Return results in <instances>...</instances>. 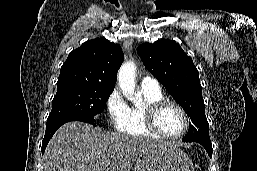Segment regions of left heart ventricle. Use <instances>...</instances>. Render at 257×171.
Wrapping results in <instances>:
<instances>
[{
	"label": "left heart ventricle",
	"mask_w": 257,
	"mask_h": 171,
	"mask_svg": "<svg viewBox=\"0 0 257 171\" xmlns=\"http://www.w3.org/2000/svg\"><path fill=\"white\" fill-rule=\"evenodd\" d=\"M159 129L167 135H177L183 130L184 122L180 112L173 106L164 107L157 116Z\"/></svg>",
	"instance_id": "left-heart-ventricle-1"
}]
</instances>
